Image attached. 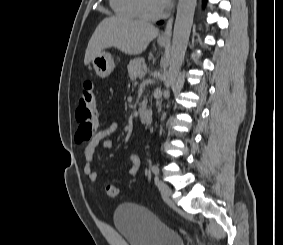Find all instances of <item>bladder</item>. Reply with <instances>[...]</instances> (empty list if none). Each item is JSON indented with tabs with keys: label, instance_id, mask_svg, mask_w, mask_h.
Wrapping results in <instances>:
<instances>
[{
	"label": "bladder",
	"instance_id": "bladder-1",
	"mask_svg": "<svg viewBox=\"0 0 283 245\" xmlns=\"http://www.w3.org/2000/svg\"><path fill=\"white\" fill-rule=\"evenodd\" d=\"M113 220L128 245H185L179 233L141 205H119L114 211Z\"/></svg>",
	"mask_w": 283,
	"mask_h": 245
}]
</instances>
